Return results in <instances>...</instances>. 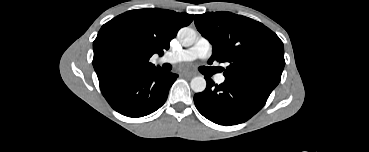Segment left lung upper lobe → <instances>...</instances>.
<instances>
[{"mask_svg":"<svg viewBox=\"0 0 369 152\" xmlns=\"http://www.w3.org/2000/svg\"><path fill=\"white\" fill-rule=\"evenodd\" d=\"M198 31L213 46L210 62H227L226 80L273 90L285 65L283 43L262 23L230 12L195 16Z\"/></svg>","mask_w":369,"mask_h":152,"instance_id":"obj_1","label":"left lung upper lobe"}]
</instances>
